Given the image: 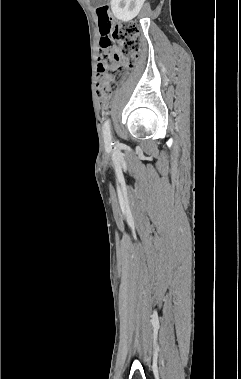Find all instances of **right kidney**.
<instances>
[{
  "label": "right kidney",
  "mask_w": 241,
  "mask_h": 379,
  "mask_svg": "<svg viewBox=\"0 0 241 379\" xmlns=\"http://www.w3.org/2000/svg\"><path fill=\"white\" fill-rule=\"evenodd\" d=\"M145 0H111V10L117 19L128 22L140 12Z\"/></svg>",
  "instance_id": "1"
}]
</instances>
